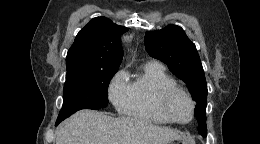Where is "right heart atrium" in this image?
<instances>
[{
    "label": "right heart atrium",
    "instance_id": "1",
    "mask_svg": "<svg viewBox=\"0 0 260 144\" xmlns=\"http://www.w3.org/2000/svg\"><path fill=\"white\" fill-rule=\"evenodd\" d=\"M108 96L117 110L124 111L129 96V83L124 70L117 72L110 81Z\"/></svg>",
    "mask_w": 260,
    "mask_h": 144
}]
</instances>
